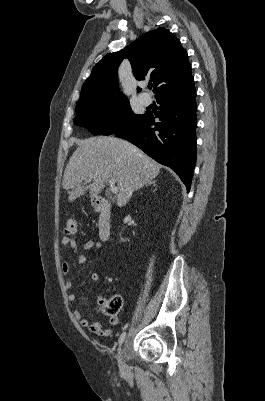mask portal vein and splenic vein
<instances>
[{
	"label": "portal vein and splenic vein",
	"mask_w": 265,
	"mask_h": 401,
	"mask_svg": "<svg viewBox=\"0 0 265 401\" xmlns=\"http://www.w3.org/2000/svg\"><path fill=\"white\" fill-rule=\"evenodd\" d=\"M96 174H97V172H95V174H90V176H96ZM109 182H110V190H111V192H114V194H117L118 186H115L114 178H110Z\"/></svg>",
	"instance_id": "18ae733b"
}]
</instances>
